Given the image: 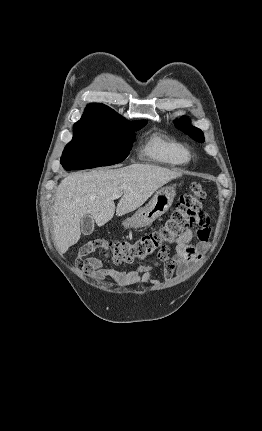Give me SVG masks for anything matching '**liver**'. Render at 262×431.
<instances>
[{
  "label": "liver",
  "instance_id": "1",
  "mask_svg": "<svg viewBox=\"0 0 262 431\" xmlns=\"http://www.w3.org/2000/svg\"><path fill=\"white\" fill-rule=\"evenodd\" d=\"M181 172L149 164H132L119 169H97L65 177L56 192L53 235L56 249L64 254L81 236L80 221L93 217L100 227L115 213L125 215L142 206L160 187ZM122 192L115 207L112 195Z\"/></svg>",
  "mask_w": 262,
  "mask_h": 431
}]
</instances>
